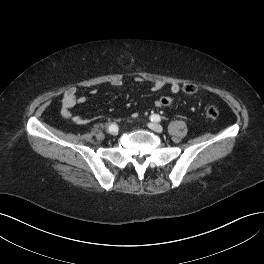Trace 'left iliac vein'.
<instances>
[{
	"instance_id": "obj_1",
	"label": "left iliac vein",
	"mask_w": 264,
	"mask_h": 264,
	"mask_svg": "<svg viewBox=\"0 0 264 264\" xmlns=\"http://www.w3.org/2000/svg\"><path fill=\"white\" fill-rule=\"evenodd\" d=\"M148 127L157 133H161L163 131V127L158 123L151 122L148 124Z\"/></svg>"
}]
</instances>
